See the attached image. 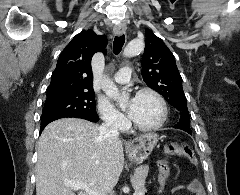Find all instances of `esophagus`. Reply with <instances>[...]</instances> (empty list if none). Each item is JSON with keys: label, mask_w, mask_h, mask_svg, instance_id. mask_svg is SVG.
Masks as SVG:
<instances>
[{"label": "esophagus", "mask_w": 240, "mask_h": 195, "mask_svg": "<svg viewBox=\"0 0 240 195\" xmlns=\"http://www.w3.org/2000/svg\"><path fill=\"white\" fill-rule=\"evenodd\" d=\"M126 31V25H117L113 28V32L115 35H123Z\"/></svg>", "instance_id": "34e87169"}]
</instances>
